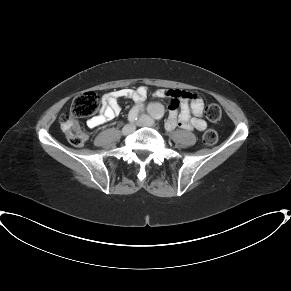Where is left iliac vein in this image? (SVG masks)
<instances>
[{
  "mask_svg": "<svg viewBox=\"0 0 291 291\" xmlns=\"http://www.w3.org/2000/svg\"><path fill=\"white\" fill-rule=\"evenodd\" d=\"M138 126H141V127H144V126L153 127V126H155V122L151 117H149L147 115H143L138 120Z\"/></svg>",
  "mask_w": 291,
  "mask_h": 291,
  "instance_id": "left-iliac-vein-1",
  "label": "left iliac vein"
}]
</instances>
